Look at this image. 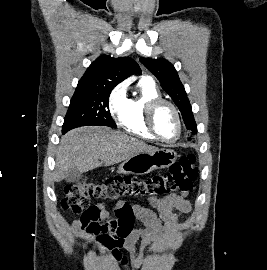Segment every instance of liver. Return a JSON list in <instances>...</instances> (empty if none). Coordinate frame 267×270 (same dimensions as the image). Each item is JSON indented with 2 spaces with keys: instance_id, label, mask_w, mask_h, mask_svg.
<instances>
[{
  "instance_id": "6515ba94",
  "label": "liver",
  "mask_w": 267,
  "mask_h": 270,
  "mask_svg": "<svg viewBox=\"0 0 267 270\" xmlns=\"http://www.w3.org/2000/svg\"><path fill=\"white\" fill-rule=\"evenodd\" d=\"M158 148L103 126H86L61 138L56 156L54 180L61 181L71 169L84 173L102 165L126 161L136 154Z\"/></svg>"
}]
</instances>
